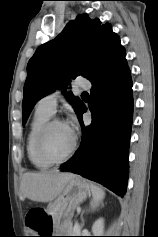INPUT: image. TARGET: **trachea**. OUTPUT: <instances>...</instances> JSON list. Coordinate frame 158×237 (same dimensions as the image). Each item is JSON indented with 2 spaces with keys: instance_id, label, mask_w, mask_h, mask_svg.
I'll list each match as a JSON object with an SVG mask.
<instances>
[{
  "instance_id": "obj_1",
  "label": "trachea",
  "mask_w": 158,
  "mask_h": 237,
  "mask_svg": "<svg viewBox=\"0 0 158 237\" xmlns=\"http://www.w3.org/2000/svg\"><path fill=\"white\" fill-rule=\"evenodd\" d=\"M82 96H89V94L87 92H83Z\"/></svg>"
}]
</instances>
